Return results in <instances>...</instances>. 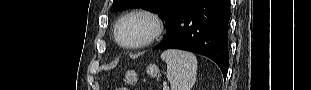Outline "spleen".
<instances>
[{
  "mask_svg": "<svg viewBox=\"0 0 311 90\" xmlns=\"http://www.w3.org/2000/svg\"><path fill=\"white\" fill-rule=\"evenodd\" d=\"M167 64V79L171 90H191L197 75V59L190 52L169 49L161 54Z\"/></svg>",
  "mask_w": 311,
  "mask_h": 90,
  "instance_id": "obj_1",
  "label": "spleen"
}]
</instances>
